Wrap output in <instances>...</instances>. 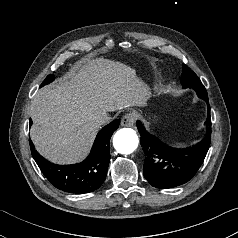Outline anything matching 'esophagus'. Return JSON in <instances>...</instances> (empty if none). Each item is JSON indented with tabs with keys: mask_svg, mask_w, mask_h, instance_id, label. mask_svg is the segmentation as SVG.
<instances>
[{
	"mask_svg": "<svg viewBox=\"0 0 238 238\" xmlns=\"http://www.w3.org/2000/svg\"><path fill=\"white\" fill-rule=\"evenodd\" d=\"M135 123V116L132 113L125 114L121 119L123 127H133Z\"/></svg>",
	"mask_w": 238,
	"mask_h": 238,
	"instance_id": "obj_1",
	"label": "esophagus"
}]
</instances>
